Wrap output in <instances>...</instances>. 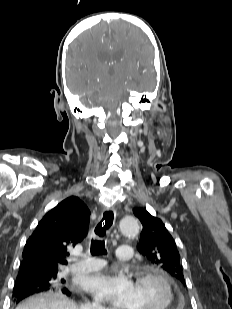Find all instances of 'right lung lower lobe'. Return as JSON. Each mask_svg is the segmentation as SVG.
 <instances>
[{
  "instance_id": "98d812e1",
  "label": "right lung lower lobe",
  "mask_w": 232,
  "mask_h": 309,
  "mask_svg": "<svg viewBox=\"0 0 232 309\" xmlns=\"http://www.w3.org/2000/svg\"><path fill=\"white\" fill-rule=\"evenodd\" d=\"M49 289H52L50 287H44L38 284V282L34 281H16L13 289V297L14 301L17 303L21 301L22 299L33 295L35 293H39L42 291H47ZM58 290H61L62 293L66 294L67 296H70V291L66 286L59 287Z\"/></svg>"
}]
</instances>
